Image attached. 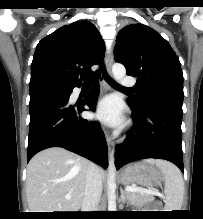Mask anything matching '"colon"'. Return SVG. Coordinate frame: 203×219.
I'll return each mask as SVG.
<instances>
[{
    "label": "colon",
    "instance_id": "colon-1",
    "mask_svg": "<svg viewBox=\"0 0 203 219\" xmlns=\"http://www.w3.org/2000/svg\"><path fill=\"white\" fill-rule=\"evenodd\" d=\"M152 207L154 211H160L162 209V203L159 201H156L153 203Z\"/></svg>",
    "mask_w": 203,
    "mask_h": 219
}]
</instances>
